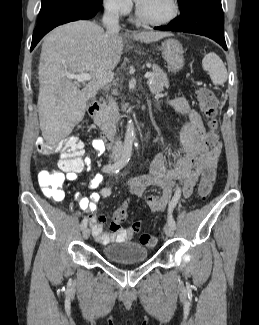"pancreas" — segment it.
I'll use <instances>...</instances> for the list:
<instances>
[{
	"label": "pancreas",
	"mask_w": 259,
	"mask_h": 325,
	"mask_svg": "<svg viewBox=\"0 0 259 325\" xmlns=\"http://www.w3.org/2000/svg\"><path fill=\"white\" fill-rule=\"evenodd\" d=\"M152 69L153 73L148 80V86L152 94H159L164 90V87H169V81L166 73L158 65H153ZM120 118L116 100L110 97L107 102L102 104L100 114L96 118V124L104 132L114 133Z\"/></svg>",
	"instance_id": "cf45deb5"
}]
</instances>
